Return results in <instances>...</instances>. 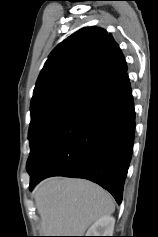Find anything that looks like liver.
<instances>
[{
  "label": "liver",
  "instance_id": "1",
  "mask_svg": "<svg viewBox=\"0 0 158 237\" xmlns=\"http://www.w3.org/2000/svg\"><path fill=\"white\" fill-rule=\"evenodd\" d=\"M33 196L42 236H83L93 222L115 210L107 191L83 179L47 178L35 187Z\"/></svg>",
  "mask_w": 158,
  "mask_h": 237
}]
</instances>
